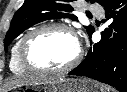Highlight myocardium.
<instances>
[{
	"label": "myocardium",
	"mask_w": 127,
	"mask_h": 92,
	"mask_svg": "<svg viewBox=\"0 0 127 92\" xmlns=\"http://www.w3.org/2000/svg\"><path fill=\"white\" fill-rule=\"evenodd\" d=\"M50 30H62L66 31L69 34H71L77 41L78 43V51L75 57L66 65L60 68H42V67H37L35 66L29 59L28 56V48L31 42L39 35H41L44 32L50 31ZM18 57L21 65L31 73H36V74H60V73H66L72 70L74 67H76L82 57V51L81 47L78 42V37L76 32L72 27H70L67 24L64 23H49L43 26H40L38 28H35L28 32L24 38L22 39L20 45H19V50H18Z\"/></svg>",
	"instance_id": "myocardium-1"
}]
</instances>
